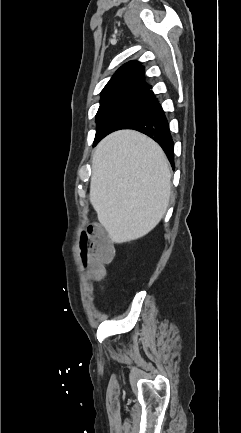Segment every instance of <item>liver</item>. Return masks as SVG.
Instances as JSON below:
<instances>
[{
    "mask_svg": "<svg viewBox=\"0 0 241 433\" xmlns=\"http://www.w3.org/2000/svg\"><path fill=\"white\" fill-rule=\"evenodd\" d=\"M171 169L161 147L134 130L105 137L92 155L90 202L116 243L142 238L164 217Z\"/></svg>",
    "mask_w": 241,
    "mask_h": 433,
    "instance_id": "6515ba94",
    "label": "liver"
}]
</instances>
